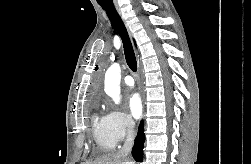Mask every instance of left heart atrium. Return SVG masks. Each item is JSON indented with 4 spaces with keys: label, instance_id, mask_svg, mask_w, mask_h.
<instances>
[{
    "label": "left heart atrium",
    "instance_id": "obj_1",
    "mask_svg": "<svg viewBox=\"0 0 251 164\" xmlns=\"http://www.w3.org/2000/svg\"><path fill=\"white\" fill-rule=\"evenodd\" d=\"M128 110L135 119L139 118L142 113V101L138 93H132L128 97Z\"/></svg>",
    "mask_w": 251,
    "mask_h": 164
}]
</instances>
